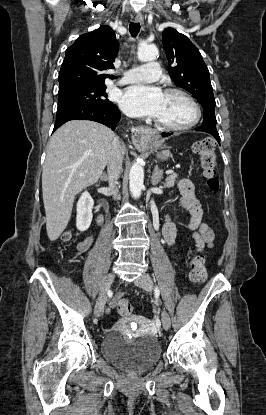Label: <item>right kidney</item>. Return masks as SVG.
Wrapping results in <instances>:
<instances>
[{
    "mask_svg": "<svg viewBox=\"0 0 266 415\" xmlns=\"http://www.w3.org/2000/svg\"><path fill=\"white\" fill-rule=\"evenodd\" d=\"M94 201L90 194L85 191L81 194L77 203L76 226L79 231H86L92 221V208Z\"/></svg>",
    "mask_w": 266,
    "mask_h": 415,
    "instance_id": "right-kidney-1",
    "label": "right kidney"
}]
</instances>
